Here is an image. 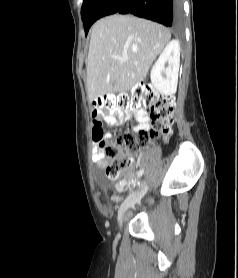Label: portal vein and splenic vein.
Wrapping results in <instances>:
<instances>
[{
	"label": "portal vein and splenic vein",
	"mask_w": 238,
	"mask_h": 278,
	"mask_svg": "<svg viewBox=\"0 0 238 278\" xmlns=\"http://www.w3.org/2000/svg\"><path fill=\"white\" fill-rule=\"evenodd\" d=\"M122 60H123V61H126V60H128V57H127V56H124V57L122 58Z\"/></svg>",
	"instance_id": "18ae733b"
}]
</instances>
